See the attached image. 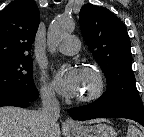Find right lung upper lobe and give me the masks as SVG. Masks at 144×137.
<instances>
[{
  "mask_svg": "<svg viewBox=\"0 0 144 137\" xmlns=\"http://www.w3.org/2000/svg\"><path fill=\"white\" fill-rule=\"evenodd\" d=\"M39 22L34 0H15L0 12V63L30 56Z\"/></svg>",
  "mask_w": 144,
  "mask_h": 137,
  "instance_id": "cb5924a9",
  "label": "right lung upper lobe"
}]
</instances>
